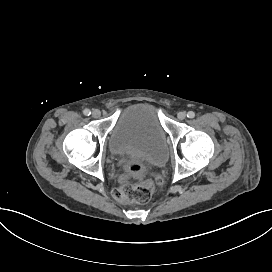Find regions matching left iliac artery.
I'll use <instances>...</instances> for the list:
<instances>
[{"label": "left iliac artery", "instance_id": "44dca946", "mask_svg": "<svg viewBox=\"0 0 272 272\" xmlns=\"http://www.w3.org/2000/svg\"><path fill=\"white\" fill-rule=\"evenodd\" d=\"M187 117H188V118H194V117H195V113H194L193 111H189V112L187 113Z\"/></svg>", "mask_w": 272, "mask_h": 272}]
</instances>
